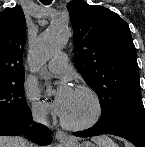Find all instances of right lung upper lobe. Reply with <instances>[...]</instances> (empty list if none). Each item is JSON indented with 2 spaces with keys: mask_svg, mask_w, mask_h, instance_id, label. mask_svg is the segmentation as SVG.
<instances>
[{
  "mask_svg": "<svg viewBox=\"0 0 145 147\" xmlns=\"http://www.w3.org/2000/svg\"><path fill=\"white\" fill-rule=\"evenodd\" d=\"M26 21L22 8L0 13V82L24 75L22 64Z\"/></svg>",
  "mask_w": 145,
  "mask_h": 147,
  "instance_id": "obj_1",
  "label": "right lung upper lobe"
}]
</instances>
